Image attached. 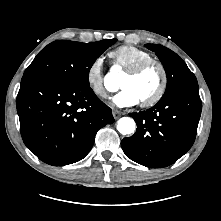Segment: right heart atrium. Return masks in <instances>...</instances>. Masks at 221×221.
<instances>
[{"mask_svg": "<svg viewBox=\"0 0 221 221\" xmlns=\"http://www.w3.org/2000/svg\"><path fill=\"white\" fill-rule=\"evenodd\" d=\"M104 60L102 56L94 58L86 69V83L92 93L99 98H106L107 89L104 84Z\"/></svg>", "mask_w": 221, "mask_h": 221, "instance_id": "obj_1", "label": "right heart atrium"}]
</instances>
